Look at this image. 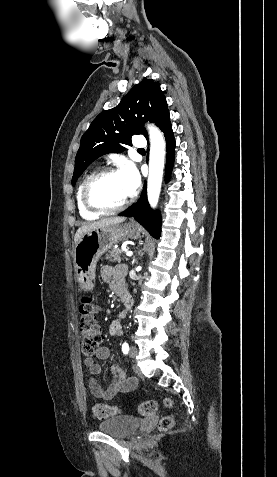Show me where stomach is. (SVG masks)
<instances>
[{
  "label": "stomach",
  "mask_w": 277,
  "mask_h": 477,
  "mask_svg": "<svg viewBox=\"0 0 277 477\" xmlns=\"http://www.w3.org/2000/svg\"><path fill=\"white\" fill-rule=\"evenodd\" d=\"M141 232L138 224L128 222L100 227L82 235L74 249V268L80 291L93 289L96 264L113 244L125 238L137 239Z\"/></svg>",
  "instance_id": "1"
}]
</instances>
